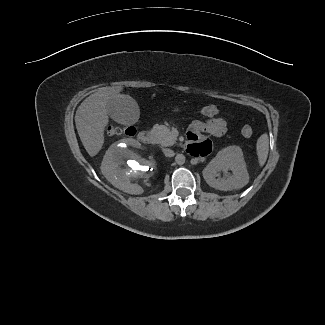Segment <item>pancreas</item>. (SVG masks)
<instances>
[{"mask_svg":"<svg viewBox=\"0 0 325 325\" xmlns=\"http://www.w3.org/2000/svg\"><path fill=\"white\" fill-rule=\"evenodd\" d=\"M152 133L155 136V142L161 146H171L176 141V136L173 135L170 128L164 125L156 124L152 128Z\"/></svg>","mask_w":325,"mask_h":325,"instance_id":"pancreas-1","label":"pancreas"}]
</instances>
